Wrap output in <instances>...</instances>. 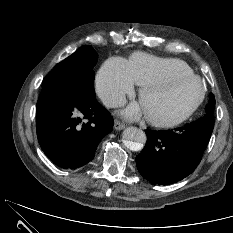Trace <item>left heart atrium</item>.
<instances>
[{
	"instance_id": "1",
	"label": "left heart atrium",
	"mask_w": 233,
	"mask_h": 233,
	"mask_svg": "<svg viewBox=\"0 0 233 233\" xmlns=\"http://www.w3.org/2000/svg\"><path fill=\"white\" fill-rule=\"evenodd\" d=\"M145 113L141 104L132 103L121 112V115L128 120H137Z\"/></svg>"
}]
</instances>
